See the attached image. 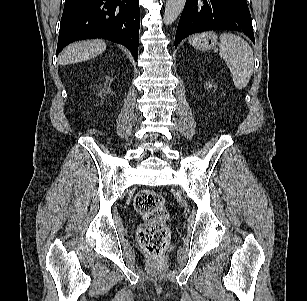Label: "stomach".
<instances>
[{"instance_id": "0dacf381", "label": "stomach", "mask_w": 307, "mask_h": 301, "mask_svg": "<svg viewBox=\"0 0 307 301\" xmlns=\"http://www.w3.org/2000/svg\"><path fill=\"white\" fill-rule=\"evenodd\" d=\"M189 43L201 50H207L217 43V37L213 32H205L189 38Z\"/></svg>"}]
</instances>
